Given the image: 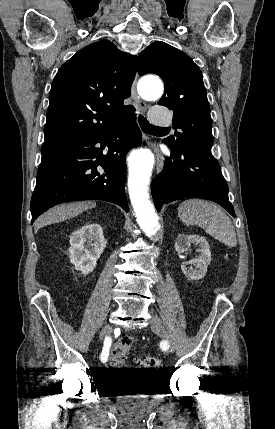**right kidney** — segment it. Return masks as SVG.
<instances>
[{"instance_id":"1","label":"right kidney","mask_w":275,"mask_h":429,"mask_svg":"<svg viewBox=\"0 0 275 429\" xmlns=\"http://www.w3.org/2000/svg\"><path fill=\"white\" fill-rule=\"evenodd\" d=\"M99 224H85L70 236L69 258L75 269L84 275L92 272L106 247Z\"/></svg>"}]
</instances>
